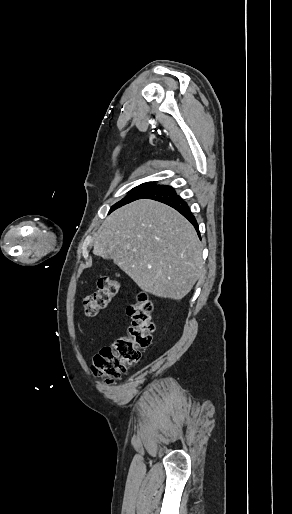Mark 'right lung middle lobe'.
Returning a JSON list of instances; mask_svg holds the SVG:
<instances>
[{
  "label": "right lung middle lobe",
  "instance_id": "1",
  "mask_svg": "<svg viewBox=\"0 0 292 514\" xmlns=\"http://www.w3.org/2000/svg\"><path fill=\"white\" fill-rule=\"evenodd\" d=\"M155 186H157L155 183L147 182L133 188L128 192L126 197H124L122 200H120L111 207L110 212L132 201L141 199L147 192H149Z\"/></svg>",
  "mask_w": 292,
  "mask_h": 514
}]
</instances>
